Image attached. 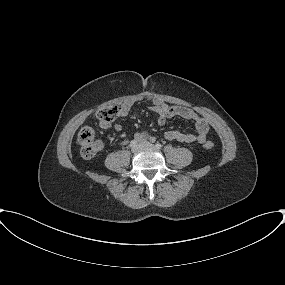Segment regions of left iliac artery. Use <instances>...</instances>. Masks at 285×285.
I'll use <instances>...</instances> for the list:
<instances>
[{
    "label": "left iliac artery",
    "mask_w": 285,
    "mask_h": 285,
    "mask_svg": "<svg viewBox=\"0 0 285 285\" xmlns=\"http://www.w3.org/2000/svg\"><path fill=\"white\" fill-rule=\"evenodd\" d=\"M150 141H151V140H150ZM155 147H156L157 149H161L162 145H161L160 143H156V144H155Z\"/></svg>",
    "instance_id": "44dca946"
}]
</instances>
